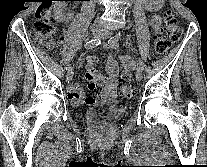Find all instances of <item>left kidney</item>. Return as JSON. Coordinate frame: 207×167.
<instances>
[{
  "label": "left kidney",
  "mask_w": 207,
  "mask_h": 167,
  "mask_svg": "<svg viewBox=\"0 0 207 167\" xmlns=\"http://www.w3.org/2000/svg\"><path fill=\"white\" fill-rule=\"evenodd\" d=\"M163 1V0H162ZM146 9H152L151 6L146 5Z\"/></svg>",
  "instance_id": "1"
}]
</instances>
